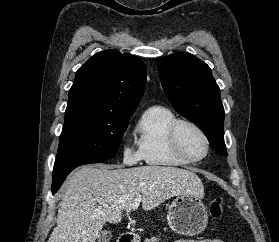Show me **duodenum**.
<instances>
[{
    "label": "duodenum",
    "mask_w": 279,
    "mask_h": 242,
    "mask_svg": "<svg viewBox=\"0 0 279 242\" xmlns=\"http://www.w3.org/2000/svg\"><path fill=\"white\" fill-rule=\"evenodd\" d=\"M118 242H133V237L130 234L125 233L119 237Z\"/></svg>",
    "instance_id": "1"
}]
</instances>
